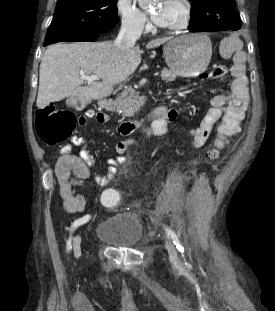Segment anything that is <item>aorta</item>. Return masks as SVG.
<instances>
[{"label": "aorta", "instance_id": "1", "mask_svg": "<svg viewBox=\"0 0 275 311\" xmlns=\"http://www.w3.org/2000/svg\"><path fill=\"white\" fill-rule=\"evenodd\" d=\"M157 0H138V4L141 8L146 7L147 5H149L151 2H155Z\"/></svg>", "mask_w": 275, "mask_h": 311}]
</instances>
